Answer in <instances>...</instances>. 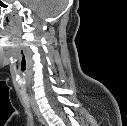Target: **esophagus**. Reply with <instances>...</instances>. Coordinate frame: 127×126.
Returning <instances> with one entry per match:
<instances>
[{
  "instance_id": "1",
  "label": "esophagus",
  "mask_w": 127,
  "mask_h": 126,
  "mask_svg": "<svg viewBox=\"0 0 127 126\" xmlns=\"http://www.w3.org/2000/svg\"><path fill=\"white\" fill-rule=\"evenodd\" d=\"M31 106H32V109H33L34 113L38 117V119L42 122V124L46 125V121L44 119V116L41 113L37 103L35 102V100L33 98L31 99Z\"/></svg>"
}]
</instances>
